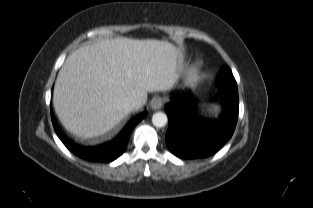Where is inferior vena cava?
Returning a JSON list of instances; mask_svg holds the SVG:
<instances>
[{"label":"inferior vena cava","mask_w":313,"mask_h":208,"mask_svg":"<svg viewBox=\"0 0 313 208\" xmlns=\"http://www.w3.org/2000/svg\"><path fill=\"white\" fill-rule=\"evenodd\" d=\"M138 106V99L134 95H129L123 99L122 108L126 112L134 110Z\"/></svg>","instance_id":"602c4592"}]
</instances>
